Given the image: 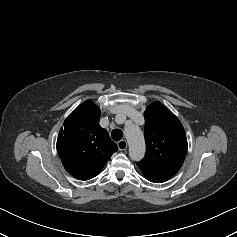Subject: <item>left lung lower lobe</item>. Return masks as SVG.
Returning <instances> with one entry per match:
<instances>
[{"instance_id": "obj_1", "label": "left lung lower lobe", "mask_w": 237, "mask_h": 237, "mask_svg": "<svg viewBox=\"0 0 237 237\" xmlns=\"http://www.w3.org/2000/svg\"><path fill=\"white\" fill-rule=\"evenodd\" d=\"M147 178V177H146ZM149 181H151V182H154V183H160V182H158V181H156V180H153V179H149V178H147Z\"/></svg>"}]
</instances>
